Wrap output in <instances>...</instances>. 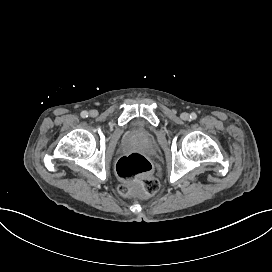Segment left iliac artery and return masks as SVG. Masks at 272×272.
I'll return each instance as SVG.
<instances>
[{"instance_id": "obj_1", "label": "left iliac artery", "mask_w": 272, "mask_h": 272, "mask_svg": "<svg viewBox=\"0 0 272 272\" xmlns=\"http://www.w3.org/2000/svg\"><path fill=\"white\" fill-rule=\"evenodd\" d=\"M196 118H197L196 113H191L190 114V119L195 120Z\"/></svg>"}]
</instances>
